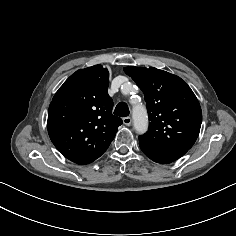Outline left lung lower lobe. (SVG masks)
<instances>
[{"mask_svg": "<svg viewBox=\"0 0 236 236\" xmlns=\"http://www.w3.org/2000/svg\"><path fill=\"white\" fill-rule=\"evenodd\" d=\"M141 150L151 160L161 164L171 163L181 156H183L188 150H173V149H160L152 148L139 143Z\"/></svg>", "mask_w": 236, "mask_h": 236, "instance_id": "0a47b994", "label": "left lung lower lobe"}]
</instances>
